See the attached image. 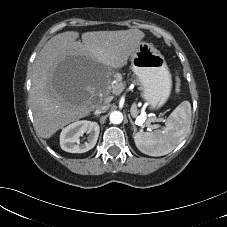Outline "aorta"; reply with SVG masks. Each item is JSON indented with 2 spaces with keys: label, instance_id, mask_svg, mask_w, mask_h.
<instances>
[{
  "label": "aorta",
  "instance_id": "762f6f07",
  "mask_svg": "<svg viewBox=\"0 0 227 227\" xmlns=\"http://www.w3.org/2000/svg\"><path fill=\"white\" fill-rule=\"evenodd\" d=\"M109 119L113 124H120L123 121V114L120 111H113L111 112Z\"/></svg>",
  "mask_w": 227,
  "mask_h": 227
}]
</instances>
